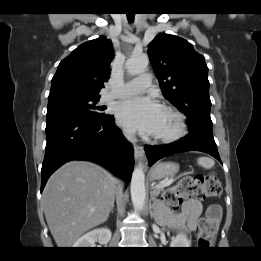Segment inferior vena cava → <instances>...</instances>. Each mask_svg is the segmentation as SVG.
Segmentation results:
<instances>
[{
    "instance_id": "inferior-vena-cava-1",
    "label": "inferior vena cava",
    "mask_w": 261,
    "mask_h": 261,
    "mask_svg": "<svg viewBox=\"0 0 261 261\" xmlns=\"http://www.w3.org/2000/svg\"><path fill=\"white\" fill-rule=\"evenodd\" d=\"M125 136H126V138H127L130 142H135V141H136L135 136H134V134H132V133H125Z\"/></svg>"
}]
</instances>
